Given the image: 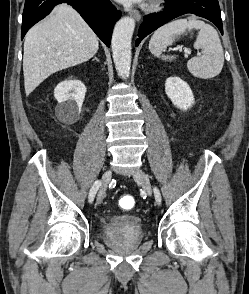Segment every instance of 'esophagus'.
<instances>
[{"instance_id":"1","label":"esophagus","mask_w":249,"mask_h":294,"mask_svg":"<svg viewBox=\"0 0 249 294\" xmlns=\"http://www.w3.org/2000/svg\"><path fill=\"white\" fill-rule=\"evenodd\" d=\"M129 14L130 16L134 17L137 21L141 19V14L136 9L130 10Z\"/></svg>"}]
</instances>
